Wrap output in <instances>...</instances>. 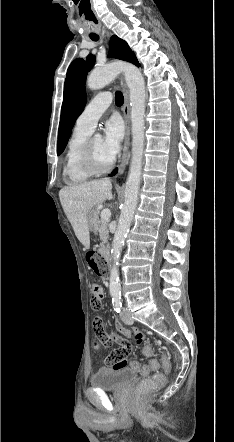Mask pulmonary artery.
Masks as SVG:
<instances>
[{
    "mask_svg": "<svg viewBox=\"0 0 234 442\" xmlns=\"http://www.w3.org/2000/svg\"><path fill=\"white\" fill-rule=\"evenodd\" d=\"M112 102L110 93L96 95L84 108L75 122V128L92 133L97 121Z\"/></svg>",
    "mask_w": 234,
    "mask_h": 442,
    "instance_id": "pulmonary-artery-1",
    "label": "pulmonary artery"
}]
</instances>
